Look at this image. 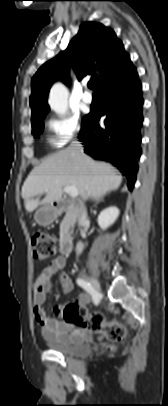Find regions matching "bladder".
Returning <instances> with one entry per match:
<instances>
[{"label":"bladder","instance_id":"31cf9c89","mask_svg":"<svg viewBox=\"0 0 168 406\" xmlns=\"http://www.w3.org/2000/svg\"><path fill=\"white\" fill-rule=\"evenodd\" d=\"M49 348L65 356L84 357L92 352V347L87 342L59 343L46 339Z\"/></svg>","mask_w":168,"mask_h":406}]
</instances>
